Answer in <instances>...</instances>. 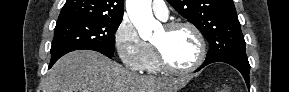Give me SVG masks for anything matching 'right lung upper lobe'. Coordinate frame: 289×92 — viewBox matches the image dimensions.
Listing matches in <instances>:
<instances>
[{"label":"right lung upper lobe","instance_id":"obj_1","mask_svg":"<svg viewBox=\"0 0 289 92\" xmlns=\"http://www.w3.org/2000/svg\"><path fill=\"white\" fill-rule=\"evenodd\" d=\"M69 18L122 20L123 0H67L58 20Z\"/></svg>","mask_w":289,"mask_h":92}]
</instances>
